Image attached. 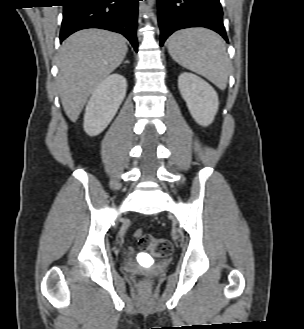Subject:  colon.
Wrapping results in <instances>:
<instances>
[{"label": "colon", "instance_id": "1", "mask_svg": "<svg viewBox=\"0 0 304 329\" xmlns=\"http://www.w3.org/2000/svg\"><path fill=\"white\" fill-rule=\"evenodd\" d=\"M135 237L139 246L158 258L167 257L172 252V244L167 238L155 237L150 233L137 230Z\"/></svg>", "mask_w": 304, "mask_h": 329}]
</instances>
